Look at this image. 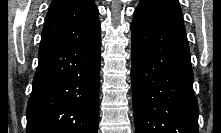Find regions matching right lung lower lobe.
Returning a JSON list of instances; mask_svg holds the SVG:
<instances>
[{
	"instance_id": "right-lung-lower-lobe-1",
	"label": "right lung lower lobe",
	"mask_w": 221,
	"mask_h": 133,
	"mask_svg": "<svg viewBox=\"0 0 221 133\" xmlns=\"http://www.w3.org/2000/svg\"><path fill=\"white\" fill-rule=\"evenodd\" d=\"M100 30L80 45L39 50L27 133H98Z\"/></svg>"
}]
</instances>
